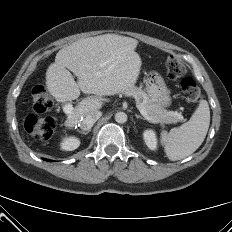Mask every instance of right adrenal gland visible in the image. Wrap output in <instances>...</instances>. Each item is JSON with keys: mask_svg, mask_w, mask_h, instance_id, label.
Returning a JSON list of instances; mask_svg holds the SVG:
<instances>
[{"mask_svg": "<svg viewBox=\"0 0 232 232\" xmlns=\"http://www.w3.org/2000/svg\"><path fill=\"white\" fill-rule=\"evenodd\" d=\"M91 131V129L87 130V131H80V130H77V132L81 133V134H84V135H87L89 132Z\"/></svg>", "mask_w": 232, "mask_h": 232, "instance_id": "1", "label": "right adrenal gland"}]
</instances>
